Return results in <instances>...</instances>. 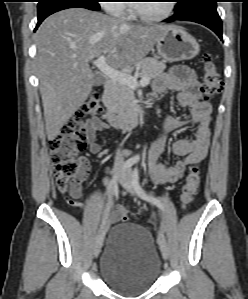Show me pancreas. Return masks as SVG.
I'll use <instances>...</instances> for the list:
<instances>
[{
  "instance_id": "cf45deb5",
  "label": "pancreas",
  "mask_w": 248,
  "mask_h": 299,
  "mask_svg": "<svg viewBox=\"0 0 248 299\" xmlns=\"http://www.w3.org/2000/svg\"><path fill=\"white\" fill-rule=\"evenodd\" d=\"M166 65L156 58L148 57L140 60L133 68L138 71V76L153 79L159 76L165 70ZM106 107L119 114L128 116L133 114L137 108V100L131 87L128 85L113 81L110 88L105 93Z\"/></svg>"
}]
</instances>
